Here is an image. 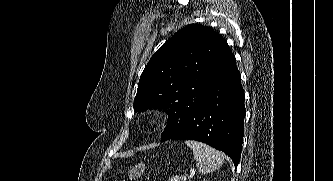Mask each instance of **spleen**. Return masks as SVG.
I'll return each instance as SVG.
<instances>
[{
	"instance_id": "1",
	"label": "spleen",
	"mask_w": 333,
	"mask_h": 181,
	"mask_svg": "<svg viewBox=\"0 0 333 181\" xmlns=\"http://www.w3.org/2000/svg\"><path fill=\"white\" fill-rule=\"evenodd\" d=\"M185 143L192 149L201 174L210 173L224 163L223 154L214 148L202 142L192 140H186Z\"/></svg>"
}]
</instances>
